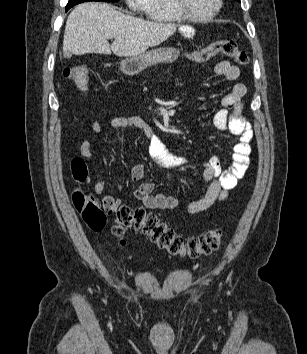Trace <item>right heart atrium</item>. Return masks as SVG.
Here are the masks:
<instances>
[{"label": "right heart atrium", "mask_w": 307, "mask_h": 354, "mask_svg": "<svg viewBox=\"0 0 307 354\" xmlns=\"http://www.w3.org/2000/svg\"><path fill=\"white\" fill-rule=\"evenodd\" d=\"M132 10L143 11L148 0H125Z\"/></svg>", "instance_id": "right-heart-atrium-1"}]
</instances>
